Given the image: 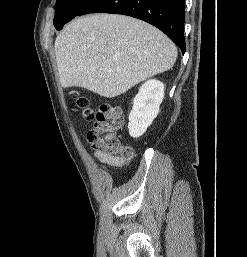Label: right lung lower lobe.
Instances as JSON below:
<instances>
[{
	"label": "right lung lower lobe",
	"mask_w": 247,
	"mask_h": 257,
	"mask_svg": "<svg viewBox=\"0 0 247 257\" xmlns=\"http://www.w3.org/2000/svg\"><path fill=\"white\" fill-rule=\"evenodd\" d=\"M184 5L185 0H92L77 16L112 13L141 19L163 31L184 54Z\"/></svg>",
	"instance_id": "obj_1"
}]
</instances>
